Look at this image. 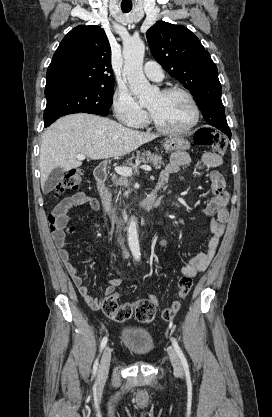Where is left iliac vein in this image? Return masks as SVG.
<instances>
[{
	"mask_svg": "<svg viewBox=\"0 0 272 417\" xmlns=\"http://www.w3.org/2000/svg\"><path fill=\"white\" fill-rule=\"evenodd\" d=\"M167 351L174 370L178 373L182 372V363L177 352L172 347H169Z\"/></svg>",
	"mask_w": 272,
	"mask_h": 417,
	"instance_id": "obj_1",
	"label": "left iliac vein"
}]
</instances>
